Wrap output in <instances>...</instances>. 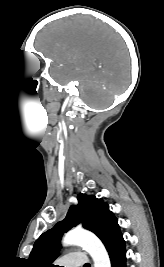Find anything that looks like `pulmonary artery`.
Listing matches in <instances>:
<instances>
[{"mask_svg":"<svg viewBox=\"0 0 164 267\" xmlns=\"http://www.w3.org/2000/svg\"><path fill=\"white\" fill-rule=\"evenodd\" d=\"M87 262L84 254L72 252L69 256L63 259L64 267H82Z\"/></svg>","mask_w":164,"mask_h":267,"instance_id":"pulmonary-artery-1","label":"pulmonary artery"}]
</instances>
